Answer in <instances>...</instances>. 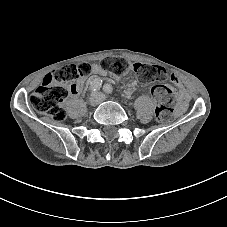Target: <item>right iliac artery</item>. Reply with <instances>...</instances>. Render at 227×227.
<instances>
[{
	"label": "right iliac artery",
	"instance_id": "right-iliac-artery-1",
	"mask_svg": "<svg viewBox=\"0 0 227 227\" xmlns=\"http://www.w3.org/2000/svg\"><path fill=\"white\" fill-rule=\"evenodd\" d=\"M101 85H102V80L96 79L91 83V85L89 87V91L92 92V94H93V92H96L101 88Z\"/></svg>",
	"mask_w": 227,
	"mask_h": 227
}]
</instances>
